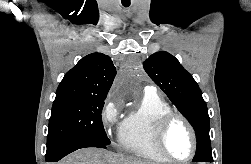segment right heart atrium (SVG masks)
Masks as SVG:
<instances>
[{
    "instance_id": "obj_1",
    "label": "right heart atrium",
    "mask_w": 251,
    "mask_h": 164,
    "mask_svg": "<svg viewBox=\"0 0 251 164\" xmlns=\"http://www.w3.org/2000/svg\"><path fill=\"white\" fill-rule=\"evenodd\" d=\"M120 112L121 105L117 101H108L104 106L101 112V122L107 133H111L115 129H120Z\"/></svg>"
}]
</instances>
